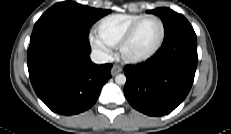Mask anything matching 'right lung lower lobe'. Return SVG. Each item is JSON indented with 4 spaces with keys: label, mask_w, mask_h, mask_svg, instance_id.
<instances>
[{
    "label": "right lung lower lobe",
    "mask_w": 231,
    "mask_h": 134,
    "mask_svg": "<svg viewBox=\"0 0 231 134\" xmlns=\"http://www.w3.org/2000/svg\"><path fill=\"white\" fill-rule=\"evenodd\" d=\"M86 36L59 26L31 35L27 53L30 81L54 112L73 115L94 105L111 77V64L95 65Z\"/></svg>",
    "instance_id": "98d812e1"
}]
</instances>
